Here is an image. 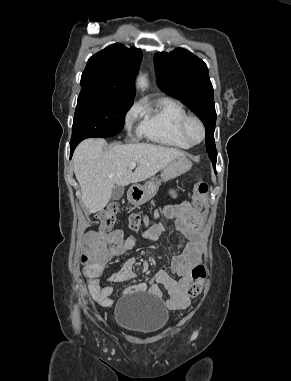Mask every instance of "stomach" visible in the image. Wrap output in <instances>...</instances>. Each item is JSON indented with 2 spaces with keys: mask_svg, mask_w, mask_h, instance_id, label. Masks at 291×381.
<instances>
[{
  "mask_svg": "<svg viewBox=\"0 0 291 381\" xmlns=\"http://www.w3.org/2000/svg\"><path fill=\"white\" fill-rule=\"evenodd\" d=\"M192 167V162L186 157H179L170 162L162 171V180H150L144 185H133L128 191V200L133 205H142L153 198L161 184L186 173Z\"/></svg>",
  "mask_w": 291,
  "mask_h": 381,
  "instance_id": "0dacf381",
  "label": "stomach"
}]
</instances>
